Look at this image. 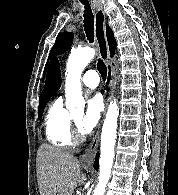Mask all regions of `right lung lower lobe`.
Wrapping results in <instances>:
<instances>
[{
  "mask_svg": "<svg viewBox=\"0 0 178 195\" xmlns=\"http://www.w3.org/2000/svg\"><path fill=\"white\" fill-rule=\"evenodd\" d=\"M93 167H94L96 170H98V167H99V154H98V153H97V155H96V159H95V161H94Z\"/></svg>",
  "mask_w": 178,
  "mask_h": 195,
  "instance_id": "right-lung-lower-lobe-1",
  "label": "right lung lower lobe"
}]
</instances>
